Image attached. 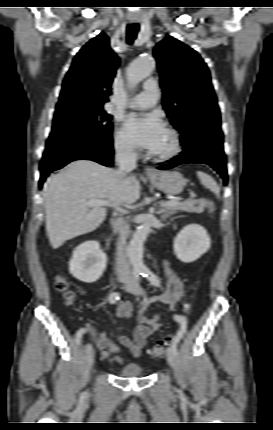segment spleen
Instances as JSON below:
<instances>
[{
    "instance_id": "3e777b00",
    "label": "spleen",
    "mask_w": 273,
    "mask_h": 430,
    "mask_svg": "<svg viewBox=\"0 0 273 430\" xmlns=\"http://www.w3.org/2000/svg\"><path fill=\"white\" fill-rule=\"evenodd\" d=\"M197 176L205 187L210 189L216 194L218 198H220V188L217 185L216 181L210 175L202 171H197Z\"/></svg>"
}]
</instances>
